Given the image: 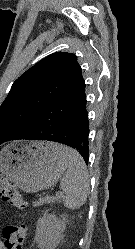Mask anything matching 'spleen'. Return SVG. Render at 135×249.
Listing matches in <instances>:
<instances>
[{
	"mask_svg": "<svg viewBox=\"0 0 135 249\" xmlns=\"http://www.w3.org/2000/svg\"><path fill=\"white\" fill-rule=\"evenodd\" d=\"M53 151L66 162V173L60 181L64 206L75 210L82 207L90 189L86 164L80 154L67 146L52 143Z\"/></svg>",
	"mask_w": 135,
	"mask_h": 249,
	"instance_id": "spleen-1",
	"label": "spleen"
}]
</instances>
